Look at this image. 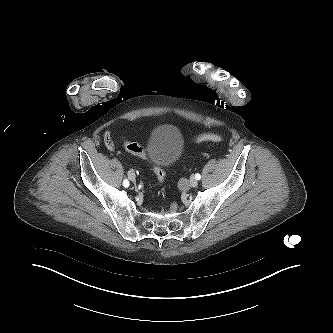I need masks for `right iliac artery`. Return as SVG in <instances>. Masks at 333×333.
<instances>
[{
	"mask_svg": "<svg viewBox=\"0 0 333 333\" xmlns=\"http://www.w3.org/2000/svg\"><path fill=\"white\" fill-rule=\"evenodd\" d=\"M123 186L126 188L129 186V181L127 179L123 181Z\"/></svg>",
	"mask_w": 333,
	"mask_h": 333,
	"instance_id": "82829eb1",
	"label": "right iliac artery"
}]
</instances>
